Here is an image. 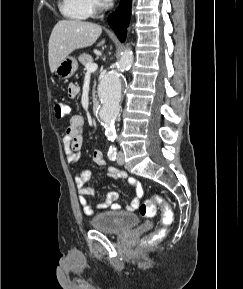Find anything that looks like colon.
<instances>
[{
    "label": "colon",
    "mask_w": 243,
    "mask_h": 289,
    "mask_svg": "<svg viewBox=\"0 0 243 289\" xmlns=\"http://www.w3.org/2000/svg\"><path fill=\"white\" fill-rule=\"evenodd\" d=\"M53 109L57 118H63L67 114V107L60 99L54 101ZM157 206H160L162 210V226L143 239L142 243L145 246L152 245L161 240L166 235L167 227L173 220V212L170 205L159 194H154L151 198L141 203L138 208L142 216L153 217Z\"/></svg>",
    "instance_id": "colon-1"
}]
</instances>
